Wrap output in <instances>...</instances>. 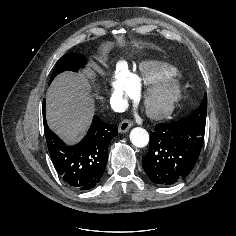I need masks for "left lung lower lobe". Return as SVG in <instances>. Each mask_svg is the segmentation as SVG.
I'll return each instance as SVG.
<instances>
[{"label": "left lung lower lobe", "instance_id": "1", "mask_svg": "<svg viewBox=\"0 0 236 236\" xmlns=\"http://www.w3.org/2000/svg\"><path fill=\"white\" fill-rule=\"evenodd\" d=\"M205 135V125L188 119L161 123L150 133L149 152L143 168L156 184L172 185L185 178L195 166Z\"/></svg>", "mask_w": 236, "mask_h": 236}]
</instances>
